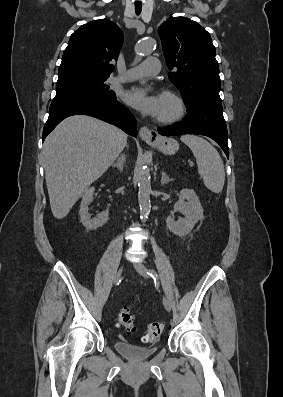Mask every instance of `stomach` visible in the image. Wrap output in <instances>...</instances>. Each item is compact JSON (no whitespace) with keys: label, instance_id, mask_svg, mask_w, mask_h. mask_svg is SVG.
Listing matches in <instances>:
<instances>
[{"label":"stomach","instance_id":"0dacf381","mask_svg":"<svg viewBox=\"0 0 283 397\" xmlns=\"http://www.w3.org/2000/svg\"><path fill=\"white\" fill-rule=\"evenodd\" d=\"M148 144L157 147L161 152L166 155H173L179 149L178 142L173 138H162L156 142H148Z\"/></svg>","mask_w":283,"mask_h":397}]
</instances>
